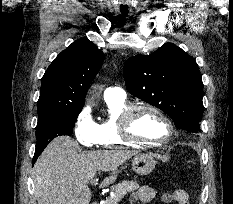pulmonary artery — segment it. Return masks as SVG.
Wrapping results in <instances>:
<instances>
[{
    "label": "pulmonary artery",
    "instance_id": "obj_1",
    "mask_svg": "<svg viewBox=\"0 0 233 204\" xmlns=\"http://www.w3.org/2000/svg\"><path fill=\"white\" fill-rule=\"evenodd\" d=\"M103 95L105 100L112 98L122 99L126 97L125 91L118 86L107 87Z\"/></svg>",
    "mask_w": 233,
    "mask_h": 204
}]
</instances>
